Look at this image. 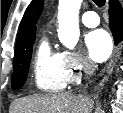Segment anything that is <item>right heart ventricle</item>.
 <instances>
[{
  "label": "right heart ventricle",
  "instance_id": "e07e8e85",
  "mask_svg": "<svg viewBox=\"0 0 123 113\" xmlns=\"http://www.w3.org/2000/svg\"><path fill=\"white\" fill-rule=\"evenodd\" d=\"M34 83L38 89L46 92L60 91L67 84L61 53L53 50L47 39L40 42L36 52Z\"/></svg>",
  "mask_w": 123,
  "mask_h": 113
}]
</instances>
